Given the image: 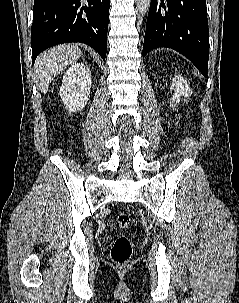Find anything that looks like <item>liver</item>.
I'll use <instances>...</instances> for the list:
<instances>
[{"label": "liver", "instance_id": "6515ba94", "mask_svg": "<svg viewBox=\"0 0 239 303\" xmlns=\"http://www.w3.org/2000/svg\"><path fill=\"white\" fill-rule=\"evenodd\" d=\"M82 55L77 45L64 44L41 53L35 63V73L40 91L46 94L51 81Z\"/></svg>", "mask_w": 239, "mask_h": 303}]
</instances>
